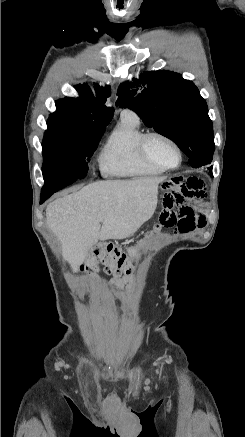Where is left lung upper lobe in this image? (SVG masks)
Here are the masks:
<instances>
[{
	"instance_id": "5c2ea615",
	"label": "left lung upper lobe",
	"mask_w": 245,
	"mask_h": 437,
	"mask_svg": "<svg viewBox=\"0 0 245 437\" xmlns=\"http://www.w3.org/2000/svg\"><path fill=\"white\" fill-rule=\"evenodd\" d=\"M133 81L119 86L117 104L174 141L192 167L210 164L215 149L213 125L197 87L171 71L145 72Z\"/></svg>"
}]
</instances>
